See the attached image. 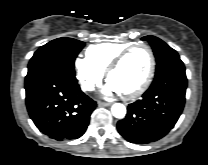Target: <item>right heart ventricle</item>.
<instances>
[{"instance_id": "e07e8e85", "label": "right heart ventricle", "mask_w": 208, "mask_h": 165, "mask_svg": "<svg viewBox=\"0 0 208 165\" xmlns=\"http://www.w3.org/2000/svg\"><path fill=\"white\" fill-rule=\"evenodd\" d=\"M133 42H102L87 47L86 57L101 71L105 72L116 55Z\"/></svg>"}]
</instances>
